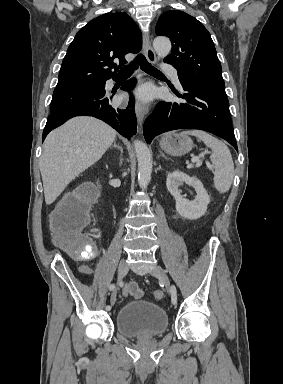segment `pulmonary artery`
Returning a JSON list of instances; mask_svg holds the SVG:
<instances>
[{
  "label": "pulmonary artery",
  "mask_w": 283,
  "mask_h": 384,
  "mask_svg": "<svg viewBox=\"0 0 283 384\" xmlns=\"http://www.w3.org/2000/svg\"><path fill=\"white\" fill-rule=\"evenodd\" d=\"M164 70L166 71V74L167 75H171V76H178V73H177V69L176 68H171V65L170 64H165L164 65ZM178 87L181 88V84L180 83H175ZM113 85V81L112 80H108L107 83H106V86L108 88H110L111 86Z\"/></svg>",
  "instance_id": "1"
}]
</instances>
